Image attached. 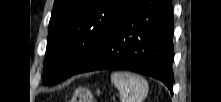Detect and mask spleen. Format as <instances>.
<instances>
[{"label": "spleen", "instance_id": "3e777b00", "mask_svg": "<svg viewBox=\"0 0 221 102\" xmlns=\"http://www.w3.org/2000/svg\"><path fill=\"white\" fill-rule=\"evenodd\" d=\"M111 82L118 89L121 102H143L148 94V83L140 75L113 72Z\"/></svg>", "mask_w": 221, "mask_h": 102}]
</instances>
